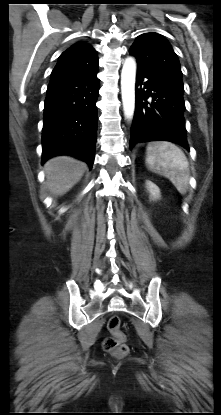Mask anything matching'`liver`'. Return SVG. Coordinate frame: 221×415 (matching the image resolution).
<instances>
[{
    "label": "liver",
    "mask_w": 221,
    "mask_h": 415,
    "mask_svg": "<svg viewBox=\"0 0 221 415\" xmlns=\"http://www.w3.org/2000/svg\"><path fill=\"white\" fill-rule=\"evenodd\" d=\"M86 164L69 156H58L44 165L46 185L54 195L67 193L83 176Z\"/></svg>",
    "instance_id": "1"
}]
</instances>
